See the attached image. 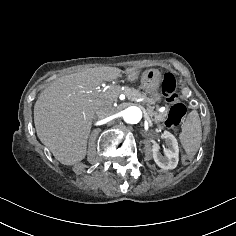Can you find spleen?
Here are the masks:
<instances>
[{
  "mask_svg": "<svg viewBox=\"0 0 236 236\" xmlns=\"http://www.w3.org/2000/svg\"><path fill=\"white\" fill-rule=\"evenodd\" d=\"M201 133V121L198 112L193 110L188 114L179 135L180 142L188 155L193 156L197 152L201 142Z\"/></svg>",
  "mask_w": 236,
  "mask_h": 236,
  "instance_id": "obj_1",
  "label": "spleen"
}]
</instances>
